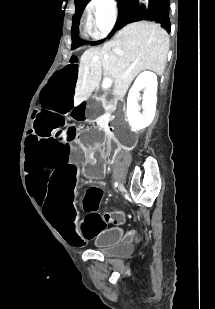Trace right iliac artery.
Listing matches in <instances>:
<instances>
[{"label":"right iliac artery","instance_id":"1","mask_svg":"<svg viewBox=\"0 0 215 309\" xmlns=\"http://www.w3.org/2000/svg\"><path fill=\"white\" fill-rule=\"evenodd\" d=\"M114 186H115V187H117V186H118V183H117V182H115V183H114Z\"/></svg>","mask_w":215,"mask_h":309}]
</instances>
